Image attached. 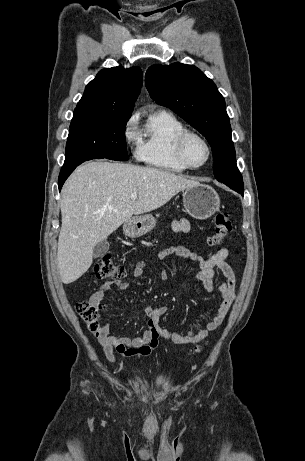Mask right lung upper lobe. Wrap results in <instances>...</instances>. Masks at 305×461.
<instances>
[{
    "label": "right lung upper lobe",
    "instance_id": "right-lung-upper-lobe-1",
    "mask_svg": "<svg viewBox=\"0 0 305 461\" xmlns=\"http://www.w3.org/2000/svg\"><path fill=\"white\" fill-rule=\"evenodd\" d=\"M142 78V71L138 67L102 69L86 86L74 112L131 117Z\"/></svg>",
    "mask_w": 305,
    "mask_h": 461
}]
</instances>
